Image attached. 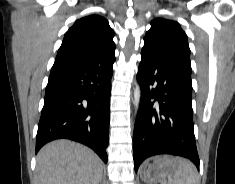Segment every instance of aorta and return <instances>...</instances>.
I'll return each mask as SVG.
<instances>
[{"label":"aorta","mask_w":235,"mask_h":184,"mask_svg":"<svg viewBox=\"0 0 235 184\" xmlns=\"http://www.w3.org/2000/svg\"><path fill=\"white\" fill-rule=\"evenodd\" d=\"M140 98H141V90H140V86H138V84H137V86L134 90V106H135L136 112L139 108Z\"/></svg>","instance_id":"aorta-1"}]
</instances>
